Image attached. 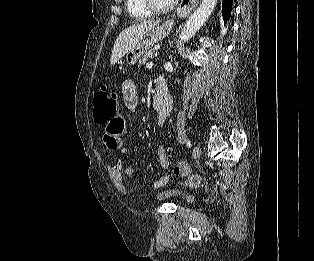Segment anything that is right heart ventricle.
<instances>
[{
	"mask_svg": "<svg viewBox=\"0 0 314 261\" xmlns=\"http://www.w3.org/2000/svg\"><path fill=\"white\" fill-rule=\"evenodd\" d=\"M125 5L130 17L143 20L152 17L153 13L145 7L142 0H125Z\"/></svg>",
	"mask_w": 314,
	"mask_h": 261,
	"instance_id": "e07e8e85",
	"label": "right heart ventricle"
}]
</instances>
